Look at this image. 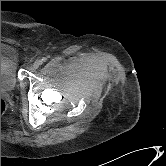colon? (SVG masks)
<instances>
[{"label":"colon","instance_id":"obj_1","mask_svg":"<svg viewBox=\"0 0 166 166\" xmlns=\"http://www.w3.org/2000/svg\"><path fill=\"white\" fill-rule=\"evenodd\" d=\"M6 111V103L5 101L1 98V116L5 113Z\"/></svg>","mask_w":166,"mask_h":166}]
</instances>
